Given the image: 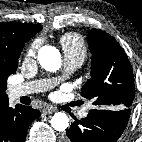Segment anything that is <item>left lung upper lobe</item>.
Masks as SVG:
<instances>
[{"label": "left lung upper lobe", "instance_id": "obj_1", "mask_svg": "<svg viewBox=\"0 0 142 142\" xmlns=\"http://www.w3.org/2000/svg\"><path fill=\"white\" fill-rule=\"evenodd\" d=\"M88 45L92 54L91 78L81 95L92 99L96 109H130L134 99V77L129 59L108 33L91 29Z\"/></svg>", "mask_w": 142, "mask_h": 142}]
</instances>
